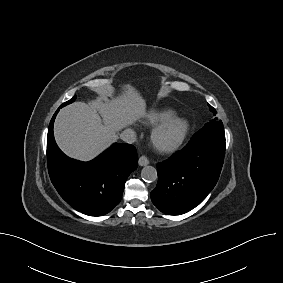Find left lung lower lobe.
Masks as SVG:
<instances>
[{
    "label": "left lung lower lobe",
    "mask_w": 283,
    "mask_h": 283,
    "mask_svg": "<svg viewBox=\"0 0 283 283\" xmlns=\"http://www.w3.org/2000/svg\"><path fill=\"white\" fill-rule=\"evenodd\" d=\"M225 136L197 132L171 158L157 164L153 204L167 215L189 212L216 185L224 162Z\"/></svg>",
    "instance_id": "obj_1"
}]
</instances>
